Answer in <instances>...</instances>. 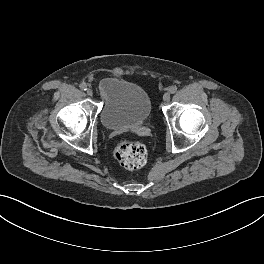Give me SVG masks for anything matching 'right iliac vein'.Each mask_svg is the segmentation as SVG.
I'll use <instances>...</instances> for the list:
<instances>
[{
  "label": "right iliac vein",
  "instance_id": "obj_1",
  "mask_svg": "<svg viewBox=\"0 0 264 264\" xmlns=\"http://www.w3.org/2000/svg\"><path fill=\"white\" fill-rule=\"evenodd\" d=\"M87 95L92 96L93 95V91L91 88H88L86 91Z\"/></svg>",
  "mask_w": 264,
  "mask_h": 264
}]
</instances>
